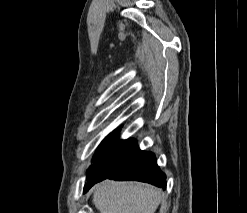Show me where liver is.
I'll return each instance as SVG.
<instances>
[{
	"label": "liver",
	"instance_id": "liver-1",
	"mask_svg": "<svg viewBox=\"0 0 247 213\" xmlns=\"http://www.w3.org/2000/svg\"><path fill=\"white\" fill-rule=\"evenodd\" d=\"M161 199L152 186L107 180L95 186L92 201L100 213H155Z\"/></svg>",
	"mask_w": 247,
	"mask_h": 213
}]
</instances>
